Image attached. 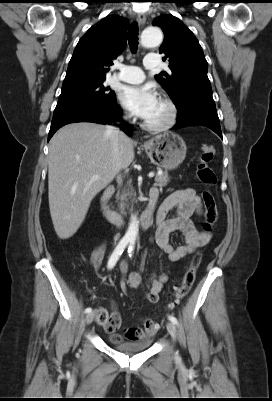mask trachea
<instances>
[{
	"mask_svg": "<svg viewBox=\"0 0 272 401\" xmlns=\"http://www.w3.org/2000/svg\"><path fill=\"white\" fill-rule=\"evenodd\" d=\"M128 43L131 51L135 53L138 48V25L136 22L132 23V25L129 28Z\"/></svg>",
	"mask_w": 272,
	"mask_h": 401,
	"instance_id": "trachea-1",
	"label": "trachea"
}]
</instances>
